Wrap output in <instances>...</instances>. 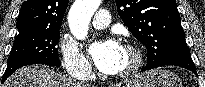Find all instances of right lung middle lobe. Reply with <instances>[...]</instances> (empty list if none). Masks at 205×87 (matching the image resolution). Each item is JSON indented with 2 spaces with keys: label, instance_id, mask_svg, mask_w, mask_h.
I'll return each mask as SVG.
<instances>
[{
  "label": "right lung middle lobe",
  "instance_id": "dd1d6c3e",
  "mask_svg": "<svg viewBox=\"0 0 205 87\" xmlns=\"http://www.w3.org/2000/svg\"><path fill=\"white\" fill-rule=\"evenodd\" d=\"M60 29L20 31L16 36L8 61L15 59L37 60L47 65L60 66L58 44Z\"/></svg>",
  "mask_w": 205,
  "mask_h": 87
}]
</instances>
